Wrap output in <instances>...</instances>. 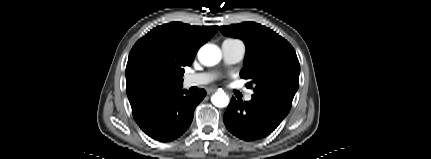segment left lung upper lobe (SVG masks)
Returning <instances> with one entry per match:
<instances>
[{
  "label": "left lung upper lobe",
  "mask_w": 431,
  "mask_h": 159,
  "mask_svg": "<svg viewBox=\"0 0 431 159\" xmlns=\"http://www.w3.org/2000/svg\"><path fill=\"white\" fill-rule=\"evenodd\" d=\"M225 36L239 38L246 45L241 78L253 84V97L268 98L291 107L299 87L300 65L294 48L273 30L254 22L221 26Z\"/></svg>",
  "instance_id": "1"
}]
</instances>
